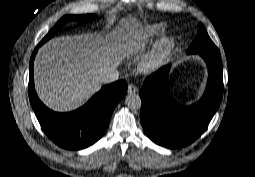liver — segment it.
<instances>
[{"label":"liver","instance_id":"liver-1","mask_svg":"<svg viewBox=\"0 0 255 177\" xmlns=\"http://www.w3.org/2000/svg\"><path fill=\"white\" fill-rule=\"evenodd\" d=\"M121 36L82 34L52 39L34 63L41 100L58 111L76 109L101 88V74L122 58Z\"/></svg>","mask_w":255,"mask_h":177}]
</instances>
